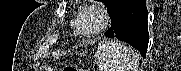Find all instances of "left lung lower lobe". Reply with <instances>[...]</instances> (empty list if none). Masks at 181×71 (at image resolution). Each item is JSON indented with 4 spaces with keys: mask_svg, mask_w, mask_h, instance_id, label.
<instances>
[{
    "mask_svg": "<svg viewBox=\"0 0 181 71\" xmlns=\"http://www.w3.org/2000/svg\"><path fill=\"white\" fill-rule=\"evenodd\" d=\"M108 13L113 24L105 36L129 43L145 57L149 42L145 0H116Z\"/></svg>",
    "mask_w": 181,
    "mask_h": 71,
    "instance_id": "0a47b994",
    "label": "left lung lower lobe"
}]
</instances>
